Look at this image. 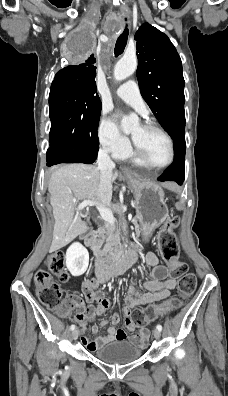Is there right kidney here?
<instances>
[{"mask_svg": "<svg viewBox=\"0 0 228 396\" xmlns=\"http://www.w3.org/2000/svg\"><path fill=\"white\" fill-rule=\"evenodd\" d=\"M89 265V253L79 242L73 243L66 252V266L72 276L85 273Z\"/></svg>", "mask_w": 228, "mask_h": 396, "instance_id": "obj_1", "label": "right kidney"}]
</instances>
